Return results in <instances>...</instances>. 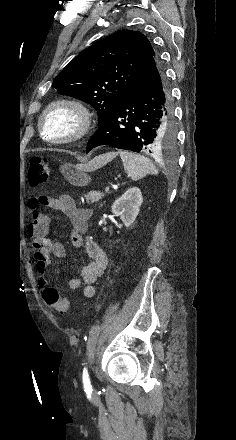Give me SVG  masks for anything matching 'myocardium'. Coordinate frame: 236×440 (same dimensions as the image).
<instances>
[{
	"mask_svg": "<svg viewBox=\"0 0 236 440\" xmlns=\"http://www.w3.org/2000/svg\"><path fill=\"white\" fill-rule=\"evenodd\" d=\"M66 109L72 113L77 120L76 130L70 135L53 137L46 134V120L56 109ZM38 125L43 139L49 143L67 145L84 139L91 131L93 115L88 105L80 99L72 97H60L51 101L39 116Z\"/></svg>",
	"mask_w": 236,
	"mask_h": 440,
	"instance_id": "myocardium-1",
	"label": "myocardium"
}]
</instances>
